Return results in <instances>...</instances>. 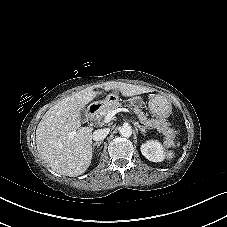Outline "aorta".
<instances>
[{
    "label": "aorta",
    "mask_w": 227,
    "mask_h": 227,
    "mask_svg": "<svg viewBox=\"0 0 227 227\" xmlns=\"http://www.w3.org/2000/svg\"><path fill=\"white\" fill-rule=\"evenodd\" d=\"M119 133L121 136L129 138L132 135V128L129 125H123L119 129Z\"/></svg>",
    "instance_id": "1"
}]
</instances>
